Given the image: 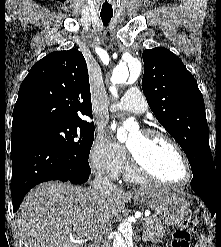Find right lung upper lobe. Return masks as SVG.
<instances>
[{
  "label": "right lung upper lobe",
  "instance_id": "right-lung-upper-lobe-1",
  "mask_svg": "<svg viewBox=\"0 0 221 247\" xmlns=\"http://www.w3.org/2000/svg\"><path fill=\"white\" fill-rule=\"evenodd\" d=\"M92 117L89 77L81 52H52L37 62L22 82L13 110L12 131L48 122Z\"/></svg>",
  "mask_w": 221,
  "mask_h": 247
}]
</instances>
